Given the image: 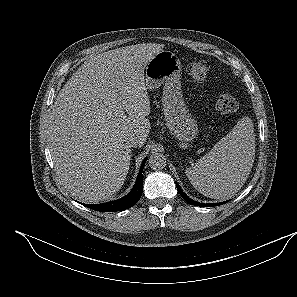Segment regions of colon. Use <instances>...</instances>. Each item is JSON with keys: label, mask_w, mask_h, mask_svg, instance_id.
<instances>
[{"label": "colon", "mask_w": 297, "mask_h": 297, "mask_svg": "<svg viewBox=\"0 0 297 297\" xmlns=\"http://www.w3.org/2000/svg\"><path fill=\"white\" fill-rule=\"evenodd\" d=\"M210 64L207 61L199 60L188 66V73L196 83H202L208 76ZM237 100L228 93H220L215 100V109L220 114H228L236 111Z\"/></svg>", "instance_id": "1"}]
</instances>
